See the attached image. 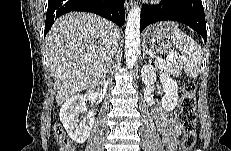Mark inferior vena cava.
<instances>
[{
	"label": "inferior vena cava",
	"mask_w": 231,
	"mask_h": 151,
	"mask_svg": "<svg viewBox=\"0 0 231 151\" xmlns=\"http://www.w3.org/2000/svg\"><path fill=\"white\" fill-rule=\"evenodd\" d=\"M117 31L118 29L116 27H114L113 31L111 32V36L109 38V42H108V58L110 59L118 46V41L116 40V35H117Z\"/></svg>",
	"instance_id": "inferior-vena-cava-1"
}]
</instances>
